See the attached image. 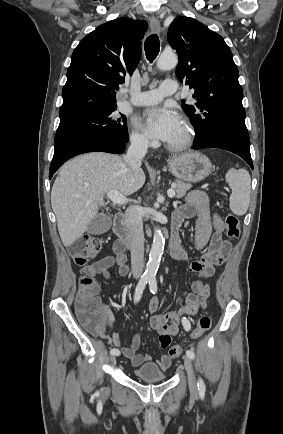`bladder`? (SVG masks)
<instances>
[{"label":"bladder","mask_w":283,"mask_h":434,"mask_svg":"<svg viewBox=\"0 0 283 434\" xmlns=\"http://www.w3.org/2000/svg\"><path fill=\"white\" fill-rule=\"evenodd\" d=\"M134 377L142 382H161L167 375L155 364L149 363L133 371Z\"/></svg>","instance_id":"bladder-1"}]
</instances>
